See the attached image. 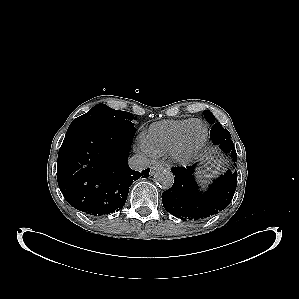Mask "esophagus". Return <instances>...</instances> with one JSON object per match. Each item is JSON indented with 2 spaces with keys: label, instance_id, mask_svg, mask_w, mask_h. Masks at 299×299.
Here are the masks:
<instances>
[{
  "label": "esophagus",
  "instance_id": "obj_1",
  "mask_svg": "<svg viewBox=\"0 0 299 299\" xmlns=\"http://www.w3.org/2000/svg\"><path fill=\"white\" fill-rule=\"evenodd\" d=\"M163 168H164V165H162L160 163L153 164L151 166V172H150V174L153 175L157 170H161Z\"/></svg>",
  "mask_w": 299,
  "mask_h": 299
}]
</instances>
